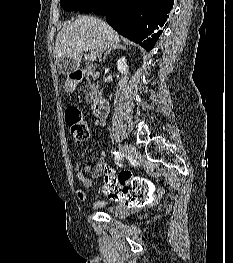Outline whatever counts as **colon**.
I'll use <instances>...</instances> for the list:
<instances>
[{
    "mask_svg": "<svg viewBox=\"0 0 233 263\" xmlns=\"http://www.w3.org/2000/svg\"><path fill=\"white\" fill-rule=\"evenodd\" d=\"M65 120L74 143H81L89 134V128L78 108L70 106L66 109ZM119 174V175H118ZM104 171L105 191L111 202H123L124 208H145L148 202L154 201L155 182L140 178L136 169H118Z\"/></svg>",
    "mask_w": 233,
    "mask_h": 263,
    "instance_id": "1",
    "label": "colon"
}]
</instances>
